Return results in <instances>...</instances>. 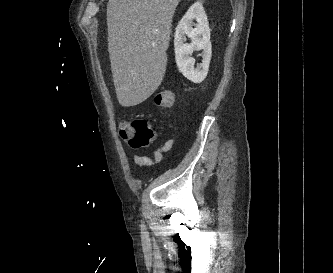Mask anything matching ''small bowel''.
<instances>
[{
  "label": "small bowel",
  "mask_w": 333,
  "mask_h": 273,
  "mask_svg": "<svg viewBox=\"0 0 333 273\" xmlns=\"http://www.w3.org/2000/svg\"><path fill=\"white\" fill-rule=\"evenodd\" d=\"M173 145L174 140L168 139L154 151L152 158L144 155H134L133 160L138 165L153 166L162 161L164 154L169 152Z\"/></svg>",
  "instance_id": "obj_1"
}]
</instances>
